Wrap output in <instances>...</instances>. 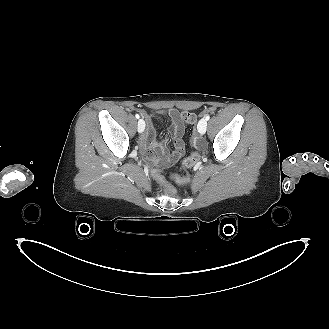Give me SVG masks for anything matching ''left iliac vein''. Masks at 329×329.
Wrapping results in <instances>:
<instances>
[{
	"label": "left iliac vein",
	"mask_w": 329,
	"mask_h": 329,
	"mask_svg": "<svg viewBox=\"0 0 329 329\" xmlns=\"http://www.w3.org/2000/svg\"><path fill=\"white\" fill-rule=\"evenodd\" d=\"M197 129L200 134H205L207 129V121L205 119H201L197 125Z\"/></svg>",
	"instance_id": "1"
}]
</instances>
